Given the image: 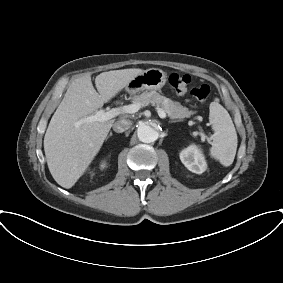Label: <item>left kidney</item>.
Returning a JSON list of instances; mask_svg holds the SVG:
<instances>
[{
    "label": "left kidney",
    "mask_w": 283,
    "mask_h": 283,
    "mask_svg": "<svg viewBox=\"0 0 283 283\" xmlns=\"http://www.w3.org/2000/svg\"><path fill=\"white\" fill-rule=\"evenodd\" d=\"M180 160L188 170L196 174H202L207 168L205 158L196 145L182 150Z\"/></svg>",
    "instance_id": "5707ae66"
}]
</instances>
